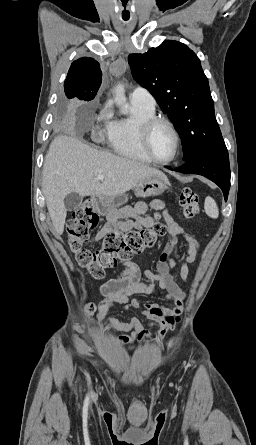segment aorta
<instances>
[{
	"label": "aorta",
	"mask_w": 256,
	"mask_h": 445,
	"mask_svg": "<svg viewBox=\"0 0 256 445\" xmlns=\"http://www.w3.org/2000/svg\"><path fill=\"white\" fill-rule=\"evenodd\" d=\"M115 93V102L118 105L123 104L126 101L125 90L122 84H118L114 90Z\"/></svg>",
	"instance_id": "762f6f07"
}]
</instances>
